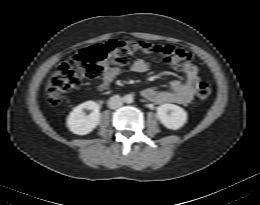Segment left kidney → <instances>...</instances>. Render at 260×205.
Masks as SVG:
<instances>
[{
	"label": "left kidney",
	"instance_id": "1",
	"mask_svg": "<svg viewBox=\"0 0 260 205\" xmlns=\"http://www.w3.org/2000/svg\"><path fill=\"white\" fill-rule=\"evenodd\" d=\"M157 118L166 128L178 130L187 122V113L177 105L162 104L157 108Z\"/></svg>",
	"mask_w": 260,
	"mask_h": 205
}]
</instances>
